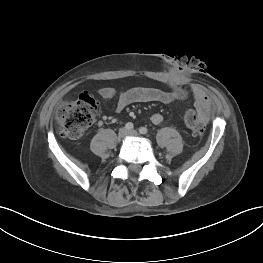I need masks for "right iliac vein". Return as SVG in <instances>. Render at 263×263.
<instances>
[{"mask_svg": "<svg viewBox=\"0 0 263 263\" xmlns=\"http://www.w3.org/2000/svg\"><path fill=\"white\" fill-rule=\"evenodd\" d=\"M128 135V130L126 128H121L118 132V138L123 139Z\"/></svg>", "mask_w": 263, "mask_h": 263, "instance_id": "63e3f726", "label": "right iliac vein"}]
</instances>
